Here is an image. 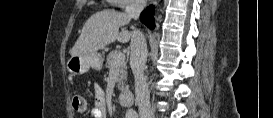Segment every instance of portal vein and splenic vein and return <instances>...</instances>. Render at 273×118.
<instances>
[{
	"label": "portal vein and splenic vein",
	"mask_w": 273,
	"mask_h": 118,
	"mask_svg": "<svg viewBox=\"0 0 273 118\" xmlns=\"http://www.w3.org/2000/svg\"><path fill=\"white\" fill-rule=\"evenodd\" d=\"M117 60H125V55L122 52H119L117 55ZM117 66L116 63H114L111 68Z\"/></svg>",
	"instance_id": "18ae733b"
}]
</instances>
